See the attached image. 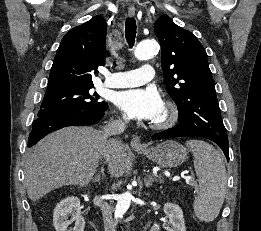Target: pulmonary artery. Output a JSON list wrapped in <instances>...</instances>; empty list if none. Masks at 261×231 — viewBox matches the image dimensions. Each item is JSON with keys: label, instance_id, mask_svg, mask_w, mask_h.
I'll list each match as a JSON object with an SVG mask.
<instances>
[{"label": "pulmonary artery", "instance_id": "e3ab8cb5", "mask_svg": "<svg viewBox=\"0 0 261 231\" xmlns=\"http://www.w3.org/2000/svg\"><path fill=\"white\" fill-rule=\"evenodd\" d=\"M155 71L152 66H142L131 71H120L110 74L105 81L108 87L127 88L139 86L154 79Z\"/></svg>", "mask_w": 261, "mask_h": 231}]
</instances>
